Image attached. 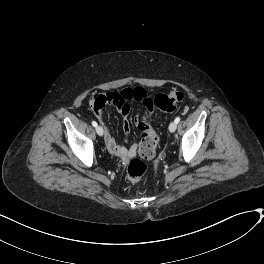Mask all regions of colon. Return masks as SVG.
<instances>
[{
  "label": "colon",
  "instance_id": "colon-1",
  "mask_svg": "<svg viewBox=\"0 0 264 264\" xmlns=\"http://www.w3.org/2000/svg\"><path fill=\"white\" fill-rule=\"evenodd\" d=\"M135 99L138 101H144L145 97L137 91L135 93ZM183 99L184 95L179 91L170 94H158L154 98L146 100L145 107L149 114L156 110L172 111L183 101ZM136 126L142 132V139L139 144V154L144 159H151L155 156L158 136L149 123V115H145L142 119H139ZM146 170L147 166L144 161L134 159L128 165L126 177L131 182H138L142 179Z\"/></svg>",
  "mask_w": 264,
  "mask_h": 264
}]
</instances>
